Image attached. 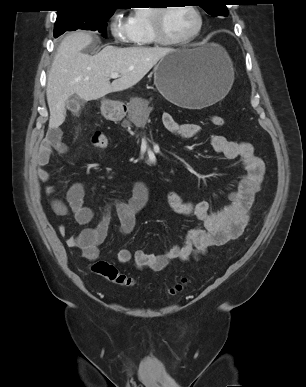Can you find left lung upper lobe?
I'll list each match as a JSON object with an SVG mask.
<instances>
[{"mask_svg":"<svg viewBox=\"0 0 306 387\" xmlns=\"http://www.w3.org/2000/svg\"><path fill=\"white\" fill-rule=\"evenodd\" d=\"M195 2L213 17L228 15L226 0H195Z\"/></svg>","mask_w":306,"mask_h":387,"instance_id":"left-lung-upper-lobe-1","label":"left lung upper lobe"}]
</instances>
